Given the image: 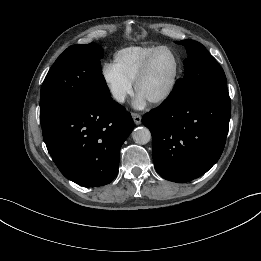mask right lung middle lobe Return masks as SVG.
<instances>
[{"label": "right lung middle lobe", "instance_id": "1", "mask_svg": "<svg viewBox=\"0 0 261 261\" xmlns=\"http://www.w3.org/2000/svg\"><path fill=\"white\" fill-rule=\"evenodd\" d=\"M102 48L96 43L67 48L55 61L41 87L40 121L85 103H107L110 91L101 70Z\"/></svg>", "mask_w": 261, "mask_h": 261}]
</instances>
